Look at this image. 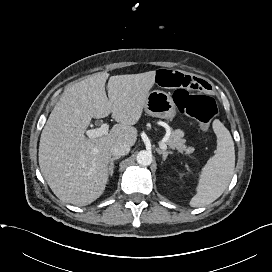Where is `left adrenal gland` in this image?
<instances>
[{
  "instance_id": "left-adrenal-gland-1",
  "label": "left adrenal gland",
  "mask_w": 272,
  "mask_h": 272,
  "mask_svg": "<svg viewBox=\"0 0 272 272\" xmlns=\"http://www.w3.org/2000/svg\"><path fill=\"white\" fill-rule=\"evenodd\" d=\"M157 152L159 154H162V158H163L164 161L167 159V156L169 154H172V151H165V150H160V149H157Z\"/></svg>"
}]
</instances>
